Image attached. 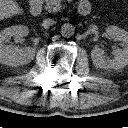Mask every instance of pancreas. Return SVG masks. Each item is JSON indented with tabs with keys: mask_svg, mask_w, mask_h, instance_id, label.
<instances>
[{
	"mask_svg": "<svg viewBox=\"0 0 128 128\" xmlns=\"http://www.w3.org/2000/svg\"><path fill=\"white\" fill-rule=\"evenodd\" d=\"M44 1L46 3L45 9L50 13H54L62 9L61 0H44Z\"/></svg>",
	"mask_w": 128,
	"mask_h": 128,
	"instance_id": "cf45deb5",
	"label": "pancreas"
}]
</instances>
